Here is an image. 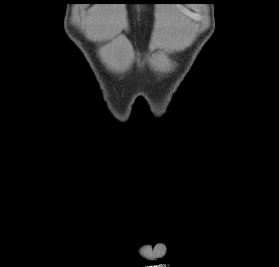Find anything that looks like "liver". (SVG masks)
I'll return each mask as SVG.
<instances>
[{"mask_svg":"<svg viewBox=\"0 0 279 267\" xmlns=\"http://www.w3.org/2000/svg\"><path fill=\"white\" fill-rule=\"evenodd\" d=\"M114 27L109 23H98L95 26L94 32H93V36L95 39H102L110 34L114 33ZM175 32H176V25L174 22V18L173 16H171L170 14H168L167 16V24H166V30H165V42L167 47L169 48H175L176 47V43H177V39L175 36ZM110 58H111V65L112 67L120 70L123 67V64L121 62V53L119 51V49L116 46H113L110 49Z\"/></svg>","mask_w":279,"mask_h":267,"instance_id":"1","label":"liver"}]
</instances>
